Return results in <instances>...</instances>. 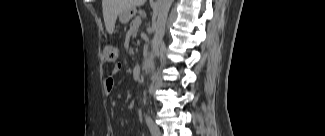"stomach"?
Listing matches in <instances>:
<instances>
[{
	"instance_id": "1",
	"label": "stomach",
	"mask_w": 325,
	"mask_h": 136,
	"mask_svg": "<svg viewBox=\"0 0 325 136\" xmlns=\"http://www.w3.org/2000/svg\"><path fill=\"white\" fill-rule=\"evenodd\" d=\"M135 15V9H129L119 15V19L122 23H127Z\"/></svg>"
}]
</instances>
